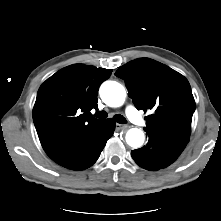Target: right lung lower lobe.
I'll use <instances>...</instances> for the list:
<instances>
[{
  "label": "right lung lower lobe",
  "instance_id": "obj_1",
  "mask_svg": "<svg viewBox=\"0 0 221 221\" xmlns=\"http://www.w3.org/2000/svg\"><path fill=\"white\" fill-rule=\"evenodd\" d=\"M115 122L103 120L89 133L78 139L62 154L53 159L57 164L72 170H83L93 165L107 140L113 135Z\"/></svg>",
  "mask_w": 221,
  "mask_h": 221
}]
</instances>
